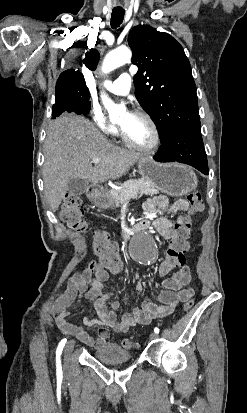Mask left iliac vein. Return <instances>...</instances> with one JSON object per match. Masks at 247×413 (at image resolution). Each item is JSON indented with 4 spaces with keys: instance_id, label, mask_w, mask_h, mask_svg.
<instances>
[{
    "instance_id": "1",
    "label": "left iliac vein",
    "mask_w": 247,
    "mask_h": 413,
    "mask_svg": "<svg viewBox=\"0 0 247 413\" xmlns=\"http://www.w3.org/2000/svg\"><path fill=\"white\" fill-rule=\"evenodd\" d=\"M157 338V334L156 333H151L150 335H149V339L150 340H154V339H156Z\"/></svg>"
}]
</instances>
